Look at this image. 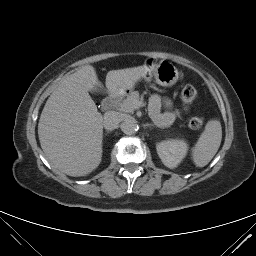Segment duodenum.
I'll return each mask as SVG.
<instances>
[{
    "mask_svg": "<svg viewBox=\"0 0 256 256\" xmlns=\"http://www.w3.org/2000/svg\"><path fill=\"white\" fill-rule=\"evenodd\" d=\"M121 93L120 92H115L110 95H108L104 100L102 104V108L104 111H110L117 99L120 97Z\"/></svg>",
    "mask_w": 256,
    "mask_h": 256,
    "instance_id": "obj_1",
    "label": "duodenum"
}]
</instances>
